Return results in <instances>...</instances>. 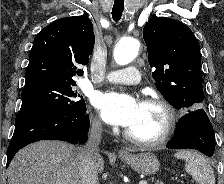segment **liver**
Listing matches in <instances>:
<instances>
[{
	"label": "liver",
	"mask_w": 224,
	"mask_h": 184,
	"mask_svg": "<svg viewBox=\"0 0 224 184\" xmlns=\"http://www.w3.org/2000/svg\"><path fill=\"white\" fill-rule=\"evenodd\" d=\"M80 148L61 141H39L21 149L9 165L8 184H81ZM104 169L101 155L95 161Z\"/></svg>",
	"instance_id": "6515ba94"
}]
</instances>
